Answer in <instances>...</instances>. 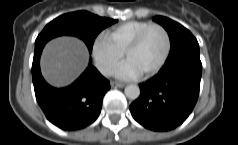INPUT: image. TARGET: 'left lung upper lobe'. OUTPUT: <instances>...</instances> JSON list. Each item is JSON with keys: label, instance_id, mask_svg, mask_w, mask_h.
Here are the masks:
<instances>
[{"label": "left lung upper lobe", "instance_id": "obj_1", "mask_svg": "<svg viewBox=\"0 0 238 145\" xmlns=\"http://www.w3.org/2000/svg\"><path fill=\"white\" fill-rule=\"evenodd\" d=\"M153 20L165 28L170 38L171 49L164 65L171 64L189 54H199L196 38L181 24L163 16H156Z\"/></svg>", "mask_w": 238, "mask_h": 145}]
</instances>
